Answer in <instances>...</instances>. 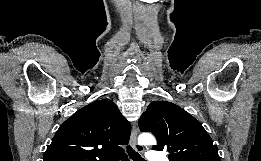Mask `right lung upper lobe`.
I'll return each mask as SVG.
<instances>
[{"instance_id":"1","label":"right lung upper lobe","mask_w":261,"mask_h":161,"mask_svg":"<svg viewBox=\"0 0 261 161\" xmlns=\"http://www.w3.org/2000/svg\"><path fill=\"white\" fill-rule=\"evenodd\" d=\"M131 126L116 104L96 100L67 119L47 146L44 161H113Z\"/></svg>"}]
</instances>
